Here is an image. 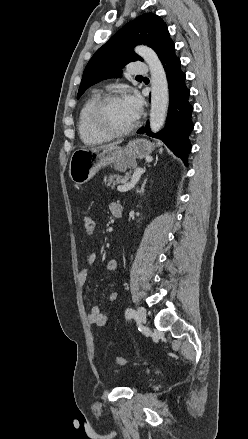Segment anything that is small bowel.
<instances>
[{
  "mask_svg": "<svg viewBox=\"0 0 248 439\" xmlns=\"http://www.w3.org/2000/svg\"><path fill=\"white\" fill-rule=\"evenodd\" d=\"M118 204L115 202L110 203L109 209L112 212L115 207H117ZM96 259V252L91 251L86 259V265L82 270L79 272L78 275V281L79 285L82 289H84L88 284V278H89V266L94 263ZM119 268V263L116 259H111L106 264V270L108 272L116 271ZM117 293L116 292H110L108 294V300L110 302H115L117 300ZM88 320L91 324L103 327L105 326L109 321V316L106 313H103L101 309L98 306L91 307L89 313H88Z\"/></svg>",
  "mask_w": 248,
  "mask_h": 439,
  "instance_id": "obj_1",
  "label": "small bowel"
}]
</instances>
